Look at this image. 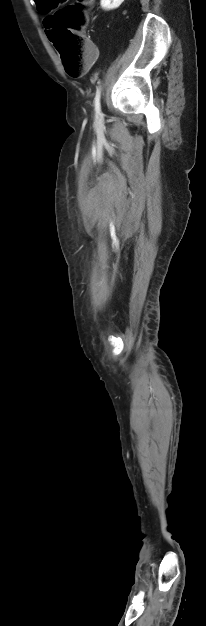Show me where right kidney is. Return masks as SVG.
Returning a JSON list of instances; mask_svg holds the SVG:
<instances>
[{
    "label": "right kidney",
    "mask_w": 206,
    "mask_h": 626,
    "mask_svg": "<svg viewBox=\"0 0 206 626\" xmlns=\"http://www.w3.org/2000/svg\"><path fill=\"white\" fill-rule=\"evenodd\" d=\"M124 0H101V7L105 11H110L118 8Z\"/></svg>",
    "instance_id": "right-kidney-1"
}]
</instances>
